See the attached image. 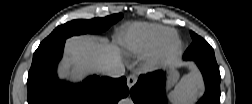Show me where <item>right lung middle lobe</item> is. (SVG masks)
I'll use <instances>...</instances> for the list:
<instances>
[{"mask_svg": "<svg viewBox=\"0 0 252 104\" xmlns=\"http://www.w3.org/2000/svg\"><path fill=\"white\" fill-rule=\"evenodd\" d=\"M122 14H114L104 18H94L91 20L79 19L67 22L58 26L39 47L47 46L56 42L65 41L73 35L100 33L106 31L112 24L121 19Z\"/></svg>", "mask_w": 252, "mask_h": 104, "instance_id": "obj_1", "label": "right lung middle lobe"}]
</instances>
